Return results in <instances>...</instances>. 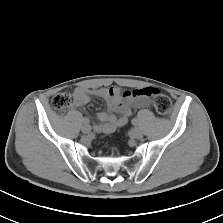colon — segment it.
Listing matches in <instances>:
<instances>
[{
    "mask_svg": "<svg viewBox=\"0 0 223 223\" xmlns=\"http://www.w3.org/2000/svg\"><path fill=\"white\" fill-rule=\"evenodd\" d=\"M74 104L75 98L67 92L58 93L52 99L53 108L60 112L66 110ZM153 106L157 114L167 116L171 110V101L167 96L161 93H154Z\"/></svg>",
    "mask_w": 223,
    "mask_h": 223,
    "instance_id": "colon-1",
    "label": "colon"
}]
</instances>
